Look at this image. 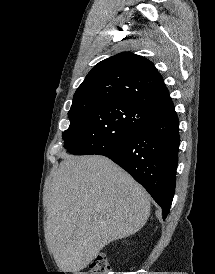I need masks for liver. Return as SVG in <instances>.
Returning a JSON list of instances; mask_svg holds the SVG:
<instances>
[{
	"instance_id": "liver-1",
	"label": "liver",
	"mask_w": 215,
	"mask_h": 274,
	"mask_svg": "<svg viewBox=\"0 0 215 274\" xmlns=\"http://www.w3.org/2000/svg\"><path fill=\"white\" fill-rule=\"evenodd\" d=\"M48 246L60 270L79 272L110 242L147 222V192L104 156L65 155L53 175Z\"/></svg>"
}]
</instances>
